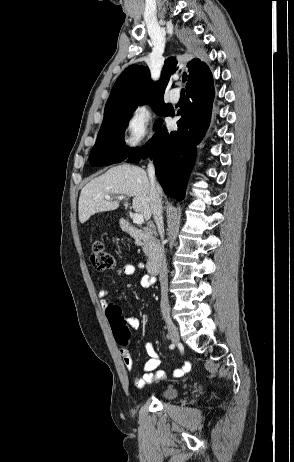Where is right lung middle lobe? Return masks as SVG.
<instances>
[{"label": "right lung middle lobe", "mask_w": 294, "mask_h": 462, "mask_svg": "<svg viewBox=\"0 0 294 462\" xmlns=\"http://www.w3.org/2000/svg\"><path fill=\"white\" fill-rule=\"evenodd\" d=\"M146 102H150L153 110L158 115H168V105L164 103L163 99H150L142 102L141 104H145ZM135 107H132L123 113L103 119L97 141L89 156V161L92 165L104 166L118 163L132 154L130 149L126 148L123 134ZM162 122V119L157 120L154 125V129L157 130L161 126Z\"/></svg>", "instance_id": "obj_1"}]
</instances>
